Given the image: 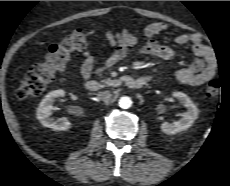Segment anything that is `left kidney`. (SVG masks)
Returning a JSON list of instances; mask_svg holds the SVG:
<instances>
[{
	"instance_id": "1",
	"label": "left kidney",
	"mask_w": 230,
	"mask_h": 186,
	"mask_svg": "<svg viewBox=\"0 0 230 186\" xmlns=\"http://www.w3.org/2000/svg\"><path fill=\"white\" fill-rule=\"evenodd\" d=\"M172 96L179 100L180 103L187 108V111L183 113L180 120L172 123L164 122L161 125V130L166 134H176L187 130L198 118L199 114L198 108L186 94L182 92H174Z\"/></svg>"
}]
</instances>
